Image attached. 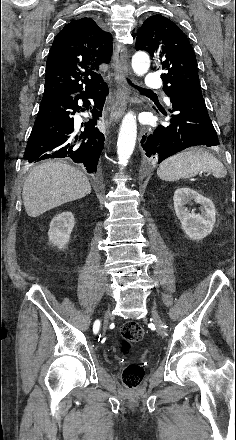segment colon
<instances>
[{
	"label": "colon",
	"instance_id": "obj_1",
	"mask_svg": "<svg viewBox=\"0 0 236 440\" xmlns=\"http://www.w3.org/2000/svg\"><path fill=\"white\" fill-rule=\"evenodd\" d=\"M144 335L142 326L134 321L126 322L121 327L123 352L130 350L132 344L140 341ZM144 378L143 368L136 363L129 364L122 373L123 384L128 389H136L140 386Z\"/></svg>",
	"mask_w": 236,
	"mask_h": 440
}]
</instances>
